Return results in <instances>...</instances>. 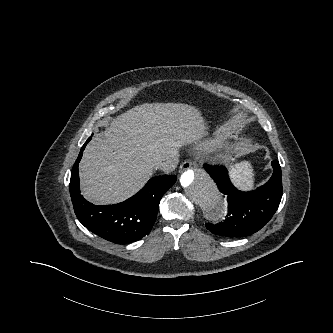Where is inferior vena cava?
Instances as JSON below:
<instances>
[{
    "label": "inferior vena cava",
    "mask_w": 333,
    "mask_h": 333,
    "mask_svg": "<svg viewBox=\"0 0 333 333\" xmlns=\"http://www.w3.org/2000/svg\"><path fill=\"white\" fill-rule=\"evenodd\" d=\"M177 158H169L163 161H159L155 164V168L159 169L165 173H170L176 168Z\"/></svg>",
    "instance_id": "obj_1"
}]
</instances>
